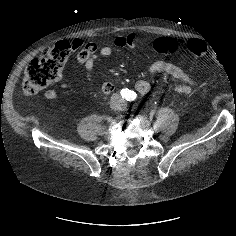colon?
<instances>
[{"label": "colon", "mask_w": 236, "mask_h": 236, "mask_svg": "<svg viewBox=\"0 0 236 236\" xmlns=\"http://www.w3.org/2000/svg\"><path fill=\"white\" fill-rule=\"evenodd\" d=\"M187 46L195 56L209 57L207 46L202 40L190 39ZM154 47L158 52L164 54L180 49L177 42L170 38L157 39ZM72 50L70 43L58 42L45 50L40 58L32 60L22 78L23 92L27 95H34L58 82Z\"/></svg>", "instance_id": "1"}]
</instances>
